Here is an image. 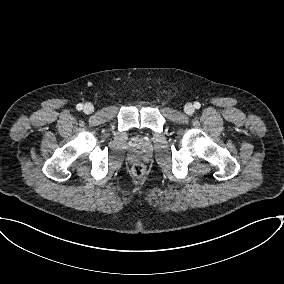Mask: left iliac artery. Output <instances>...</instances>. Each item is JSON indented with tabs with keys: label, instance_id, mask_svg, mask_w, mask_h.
Returning <instances> with one entry per match:
<instances>
[{
	"label": "left iliac artery",
	"instance_id": "44dca946",
	"mask_svg": "<svg viewBox=\"0 0 284 284\" xmlns=\"http://www.w3.org/2000/svg\"><path fill=\"white\" fill-rule=\"evenodd\" d=\"M194 107H195L196 109H199V108L201 107V105H200L199 102H195V103H194Z\"/></svg>",
	"mask_w": 284,
	"mask_h": 284
}]
</instances>
